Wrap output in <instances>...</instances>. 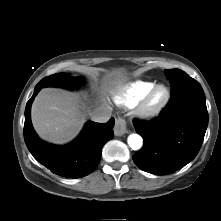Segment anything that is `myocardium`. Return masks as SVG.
I'll return each mask as SVG.
<instances>
[{
    "label": "myocardium",
    "instance_id": "myocardium-1",
    "mask_svg": "<svg viewBox=\"0 0 221 221\" xmlns=\"http://www.w3.org/2000/svg\"><path fill=\"white\" fill-rule=\"evenodd\" d=\"M164 90V97L157 103H154V97L160 90ZM171 98L169 87L164 84H156L140 101L138 106V115L144 119H152L160 115L166 108Z\"/></svg>",
    "mask_w": 221,
    "mask_h": 221
}]
</instances>
